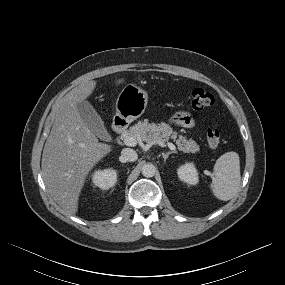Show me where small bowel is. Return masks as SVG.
<instances>
[{
  "instance_id": "small-bowel-1",
  "label": "small bowel",
  "mask_w": 285,
  "mask_h": 285,
  "mask_svg": "<svg viewBox=\"0 0 285 285\" xmlns=\"http://www.w3.org/2000/svg\"><path fill=\"white\" fill-rule=\"evenodd\" d=\"M171 121L184 128H191L195 124V120L192 115L186 111H181L174 114L171 118Z\"/></svg>"
}]
</instances>
